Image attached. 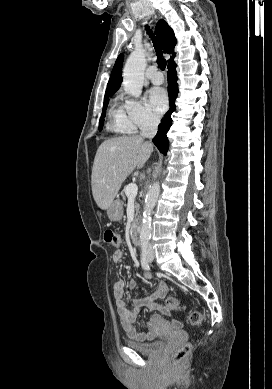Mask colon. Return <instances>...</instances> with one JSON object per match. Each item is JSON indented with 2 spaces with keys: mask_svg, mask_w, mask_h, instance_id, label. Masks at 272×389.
Here are the masks:
<instances>
[{
  "mask_svg": "<svg viewBox=\"0 0 272 389\" xmlns=\"http://www.w3.org/2000/svg\"><path fill=\"white\" fill-rule=\"evenodd\" d=\"M104 240L113 247H119L121 244L120 236L111 229H106L104 231ZM164 308L166 314H173L182 310V306L179 300L176 299L175 297H168L165 301ZM187 320L192 326L199 327L203 324L202 314L196 311L190 312L187 316ZM190 353H191V345L189 343H186L182 345L180 348H178L177 350H175L171 354L170 358L172 363L178 366L184 363L188 359Z\"/></svg>",
  "mask_w": 272,
  "mask_h": 389,
  "instance_id": "obj_1",
  "label": "colon"
}]
</instances>
